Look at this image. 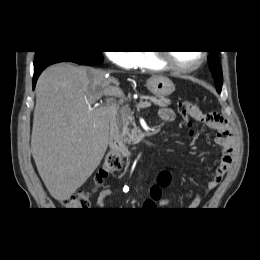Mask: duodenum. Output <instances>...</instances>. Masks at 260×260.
<instances>
[{
	"instance_id": "duodenum-1",
	"label": "duodenum",
	"mask_w": 260,
	"mask_h": 260,
	"mask_svg": "<svg viewBox=\"0 0 260 260\" xmlns=\"http://www.w3.org/2000/svg\"><path fill=\"white\" fill-rule=\"evenodd\" d=\"M109 123H110V129H109V144H110V150L118 154L124 158H130L133 156V151L128 149L120 140L116 123H115V113L113 110L109 111Z\"/></svg>"
}]
</instances>
